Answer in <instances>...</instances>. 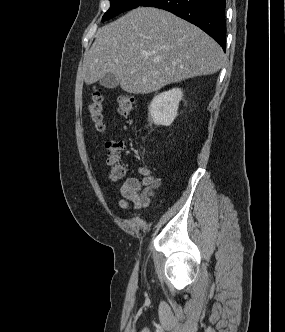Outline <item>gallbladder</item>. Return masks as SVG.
<instances>
[{
	"instance_id": "bac80fb5",
	"label": "gallbladder",
	"mask_w": 285,
	"mask_h": 332,
	"mask_svg": "<svg viewBox=\"0 0 285 332\" xmlns=\"http://www.w3.org/2000/svg\"><path fill=\"white\" fill-rule=\"evenodd\" d=\"M100 84L108 89H114L119 85L115 76L111 73L104 75L100 80Z\"/></svg>"
}]
</instances>
